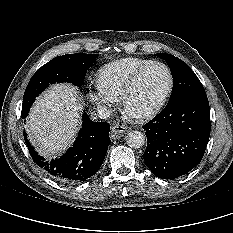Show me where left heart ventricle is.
<instances>
[{
    "mask_svg": "<svg viewBox=\"0 0 233 233\" xmlns=\"http://www.w3.org/2000/svg\"><path fill=\"white\" fill-rule=\"evenodd\" d=\"M169 83L166 70L152 66L144 72L127 98V110L132 114L144 112L155 105L165 93Z\"/></svg>",
    "mask_w": 233,
    "mask_h": 233,
    "instance_id": "1",
    "label": "left heart ventricle"
}]
</instances>
